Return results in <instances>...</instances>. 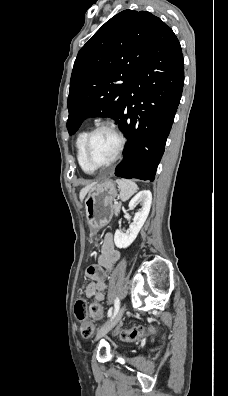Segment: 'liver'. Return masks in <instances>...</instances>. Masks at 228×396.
Here are the masks:
<instances>
[{"label": "liver", "instance_id": "liver-1", "mask_svg": "<svg viewBox=\"0 0 228 396\" xmlns=\"http://www.w3.org/2000/svg\"><path fill=\"white\" fill-rule=\"evenodd\" d=\"M90 186H91V185H87V186H85L84 188L81 189V191H80V193H79V198H80V201H81V202L83 201L85 195L87 194L88 188H89Z\"/></svg>", "mask_w": 228, "mask_h": 396}]
</instances>
